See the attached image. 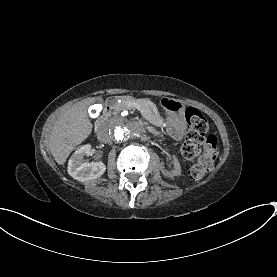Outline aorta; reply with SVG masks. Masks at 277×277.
Here are the masks:
<instances>
[{
  "label": "aorta",
  "instance_id": "obj_1",
  "mask_svg": "<svg viewBox=\"0 0 277 277\" xmlns=\"http://www.w3.org/2000/svg\"><path fill=\"white\" fill-rule=\"evenodd\" d=\"M111 137L118 144L133 143L140 140L146 132V123L139 117L121 116L109 124Z\"/></svg>",
  "mask_w": 277,
  "mask_h": 277
}]
</instances>
